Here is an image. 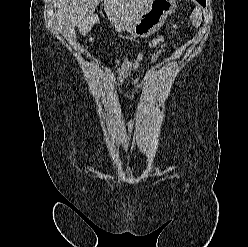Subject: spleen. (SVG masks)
I'll use <instances>...</instances> for the list:
<instances>
[{
	"instance_id": "1",
	"label": "spleen",
	"mask_w": 248,
	"mask_h": 247,
	"mask_svg": "<svg viewBox=\"0 0 248 247\" xmlns=\"http://www.w3.org/2000/svg\"><path fill=\"white\" fill-rule=\"evenodd\" d=\"M191 22L195 27H199L202 22V12L199 7H196L191 16H190Z\"/></svg>"
}]
</instances>
